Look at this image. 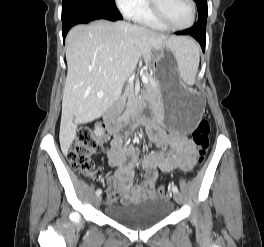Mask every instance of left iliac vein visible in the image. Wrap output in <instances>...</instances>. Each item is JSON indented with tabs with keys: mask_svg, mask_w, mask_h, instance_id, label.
I'll list each match as a JSON object with an SVG mask.
<instances>
[{
	"mask_svg": "<svg viewBox=\"0 0 264 247\" xmlns=\"http://www.w3.org/2000/svg\"><path fill=\"white\" fill-rule=\"evenodd\" d=\"M174 199L179 204L182 203V201H183L182 195L180 193H178V192L174 193Z\"/></svg>",
	"mask_w": 264,
	"mask_h": 247,
	"instance_id": "1",
	"label": "left iliac vein"
}]
</instances>
